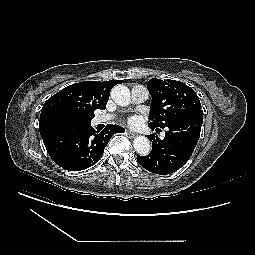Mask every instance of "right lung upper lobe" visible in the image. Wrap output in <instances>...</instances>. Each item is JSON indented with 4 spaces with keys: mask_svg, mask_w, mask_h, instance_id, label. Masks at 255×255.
<instances>
[{
    "mask_svg": "<svg viewBox=\"0 0 255 255\" xmlns=\"http://www.w3.org/2000/svg\"><path fill=\"white\" fill-rule=\"evenodd\" d=\"M122 82L83 81L62 89L44 103L40 115V131L61 120L93 119L96 109L106 108L111 89Z\"/></svg>",
    "mask_w": 255,
    "mask_h": 255,
    "instance_id": "right-lung-upper-lobe-1",
    "label": "right lung upper lobe"
}]
</instances>
